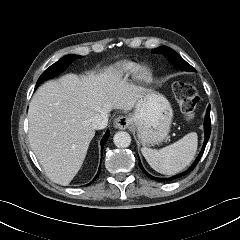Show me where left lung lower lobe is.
Here are the masks:
<instances>
[{
	"label": "left lung lower lobe",
	"mask_w": 240,
	"mask_h": 240,
	"mask_svg": "<svg viewBox=\"0 0 240 240\" xmlns=\"http://www.w3.org/2000/svg\"><path fill=\"white\" fill-rule=\"evenodd\" d=\"M204 131H205V140H204V144H203V147H202V150L199 154V156L197 157V159L194 161V163L192 164V166L187 169L186 171L178 174V175H175L173 177H170V178H156V177H153L151 176L150 174H148L145 169L143 168L140 160H139V166L141 168V170L151 179H154L156 181H171L173 179H176V178H179L181 176H184L186 174H188L189 172H191L197 165V163L199 162L204 150H205V147H206V144L209 140V137H210V133H211V120H210V106H208L207 108V111H206V115H205V121H204Z\"/></svg>",
	"instance_id": "left-lung-lower-lobe-1"
}]
</instances>
